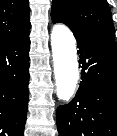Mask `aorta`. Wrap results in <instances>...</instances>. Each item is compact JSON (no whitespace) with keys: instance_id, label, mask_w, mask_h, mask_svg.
<instances>
[{"instance_id":"1","label":"aorta","mask_w":117,"mask_h":136,"mask_svg":"<svg viewBox=\"0 0 117 136\" xmlns=\"http://www.w3.org/2000/svg\"><path fill=\"white\" fill-rule=\"evenodd\" d=\"M51 47L57 96L60 100L69 101L74 95L79 71L76 40L67 26H53Z\"/></svg>"}]
</instances>
